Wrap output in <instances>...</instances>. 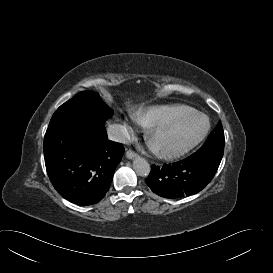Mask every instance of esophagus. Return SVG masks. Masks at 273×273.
I'll use <instances>...</instances> for the list:
<instances>
[{
  "label": "esophagus",
  "mask_w": 273,
  "mask_h": 273,
  "mask_svg": "<svg viewBox=\"0 0 273 273\" xmlns=\"http://www.w3.org/2000/svg\"><path fill=\"white\" fill-rule=\"evenodd\" d=\"M126 157H127L128 159H134V158L137 157V153H135V152L132 151V150H128V151L126 152Z\"/></svg>",
  "instance_id": "esophagus-1"
}]
</instances>
